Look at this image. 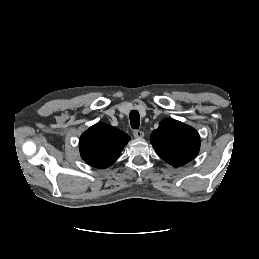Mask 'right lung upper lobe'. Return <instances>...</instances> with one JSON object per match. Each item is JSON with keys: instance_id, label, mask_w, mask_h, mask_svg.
Here are the masks:
<instances>
[{"instance_id": "right-lung-upper-lobe-1", "label": "right lung upper lobe", "mask_w": 259, "mask_h": 259, "mask_svg": "<svg viewBox=\"0 0 259 259\" xmlns=\"http://www.w3.org/2000/svg\"><path fill=\"white\" fill-rule=\"evenodd\" d=\"M129 140L130 137L123 131L105 123H97L81 135L80 154L89 165L106 168L117 160Z\"/></svg>"}]
</instances>
